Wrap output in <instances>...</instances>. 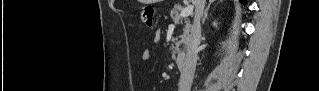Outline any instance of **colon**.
<instances>
[{"instance_id":"colon-1","label":"colon","mask_w":319,"mask_h":91,"mask_svg":"<svg viewBox=\"0 0 319 91\" xmlns=\"http://www.w3.org/2000/svg\"><path fill=\"white\" fill-rule=\"evenodd\" d=\"M153 16H154V7L146 6L140 14V19L145 26L151 28L154 25Z\"/></svg>"}]
</instances>
